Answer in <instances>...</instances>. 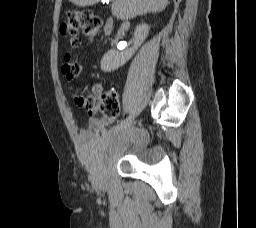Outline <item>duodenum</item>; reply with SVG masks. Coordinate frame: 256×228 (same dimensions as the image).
I'll list each match as a JSON object with an SVG mask.
<instances>
[{"mask_svg": "<svg viewBox=\"0 0 256 228\" xmlns=\"http://www.w3.org/2000/svg\"><path fill=\"white\" fill-rule=\"evenodd\" d=\"M112 28H113V22L111 19H108L104 26L105 35H110V33L112 32Z\"/></svg>", "mask_w": 256, "mask_h": 228, "instance_id": "410a0bca", "label": "duodenum"}]
</instances>
